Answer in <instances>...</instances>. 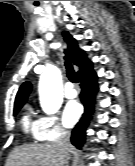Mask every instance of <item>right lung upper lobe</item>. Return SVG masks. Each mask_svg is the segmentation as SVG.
Here are the masks:
<instances>
[{
	"mask_svg": "<svg viewBox=\"0 0 135 166\" xmlns=\"http://www.w3.org/2000/svg\"><path fill=\"white\" fill-rule=\"evenodd\" d=\"M63 37L66 41L69 56L71 57L73 64L77 65L79 70H81L87 64H89L90 61L86 58L85 52L79 49L77 41L67 31L63 32ZM31 88L32 86L29 82H24L21 85L15 98L14 108L23 106L25 104V101L31 92Z\"/></svg>",
	"mask_w": 135,
	"mask_h": 166,
	"instance_id": "right-lung-upper-lobe-1",
	"label": "right lung upper lobe"
}]
</instances>
